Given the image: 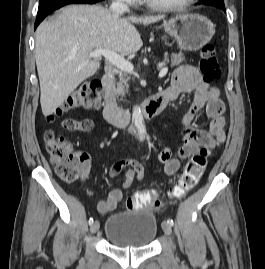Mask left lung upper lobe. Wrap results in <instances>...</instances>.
<instances>
[{"label": "left lung upper lobe", "mask_w": 265, "mask_h": 269, "mask_svg": "<svg viewBox=\"0 0 265 269\" xmlns=\"http://www.w3.org/2000/svg\"><path fill=\"white\" fill-rule=\"evenodd\" d=\"M208 1H216V2H219V3H224V0H200L201 3H205V2H208Z\"/></svg>", "instance_id": "obj_1"}]
</instances>
